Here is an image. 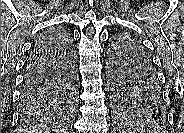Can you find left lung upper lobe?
Instances as JSON below:
<instances>
[{"instance_id":"obj_1","label":"left lung upper lobe","mask_w":184,"mask_h":133,"mask_svg":"<svg viewBox=\"0 0 184 133\" xmlns=\"http://www.w3.org/2000/svg\"><path fill=\"white\" fill-rule=\"evenodd\" d=\"M108 72L119 113L146 127L159 125L167 118L163 98L158 102L151 88L157 76L153 62L133 36L123 34L114 39L108 52Z\"/></svg>"}]
</instances>
